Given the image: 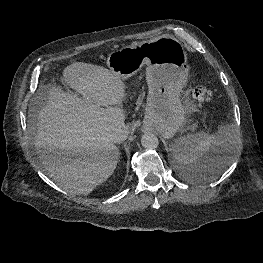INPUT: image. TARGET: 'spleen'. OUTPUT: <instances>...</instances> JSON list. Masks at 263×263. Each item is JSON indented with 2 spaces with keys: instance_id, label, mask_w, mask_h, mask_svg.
Returning a JSON list of instances; mask_svg holds the SVG:
<instances>
[{
  "instance_id": "spleen-1",
  "label": "spleen",
  "mask_w": 263,
  "mask_h": 263,
  "mask_svg": "<svg viewBox=\"0 0 263 263\" xmlns=\"http://www.w3.org/2000/svg\"><path fill=\"white\" fill-rule=\"evenodd\" d=\"M240 141L238 131L233 125L220 126L217 133L207 134L203 131L182 136L174 140L171 145L174 160L183 169L190 168L211 148L216 147L222 153L220 169L207 179H216L231 162V155ZM196 177L188 175L187 179Z\"/></svg>"
}]
</instances>
